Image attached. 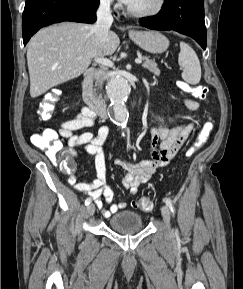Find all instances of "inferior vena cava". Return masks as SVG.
Masks as SVG:
<instances>
[{
	"label": "inferior vena cava",
	"instance_id": "1",
	"mask_svg": "<svg viewBox=\"0 0 243 289\" xmlns=\"http://www.w3.org/2000/svg\"><path fill=\"white\" fill-rule=\"evenodd\" d=\"M111 0H101L97 9V21L94 25V33L98 47L100 48L108 37L110 26L113 22V17L110 11ZM103 71L97 70L95 78L98 83L102 82Z\"/></svg>",
	"mask_w": 243,
	"mask_h": 289
}]
</instances>
